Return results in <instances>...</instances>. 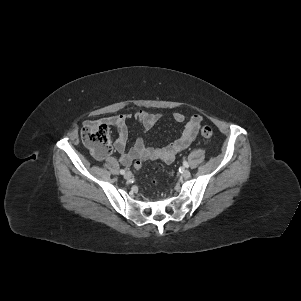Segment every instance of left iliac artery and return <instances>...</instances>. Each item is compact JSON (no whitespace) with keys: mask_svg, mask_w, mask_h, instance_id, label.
Returning <instances> with one entry per match:
<instances>
[{"mask_svg":"<svg viewBox=\"0 0 301 301\" xmlns=\"http://www.w3.org/2000/svg\"><path fill=\"white\" fill-rule=\"evenodd\" d=\"M183 165H184V167H186V168L189 167V164H188V162H186V161L183 162Z\"/></svg>","mask_w":301,"mask_h":301,"instance_id":"44dca946","label":"left iliac artery"}]
</instances>
